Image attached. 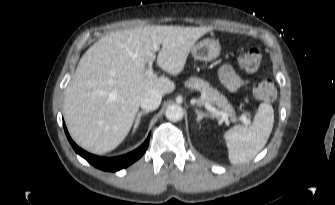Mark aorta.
<instances>
[{
	"mask_svg": "<svg viewBox=\"0 0 335 205\" xmlns=\"http://www.w3.org/2000/svg\"><path fill=\"white\" fill-rule=\"evenodd\" d=\"M166 118L172 122H177L183 118V109L179 105H170L166 109Z\"/></svg>",
	"mask_w": 335,
	"mask_h": 205,
	"instance_id": "aorta-1",
	"label": "aorta"
}]
</instances>
